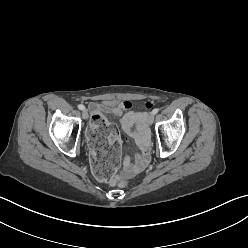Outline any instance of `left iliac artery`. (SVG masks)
Masks as SVG:
<instances>
[{
  "label": "left iliac artery",
  "mask_w": 248,
  "mask_h": 248,
  "mask_svg": "<svg viewBox=\"0 0 248 248\" xmlns=\"http://www.w3.org/2000/svg\"><path fill=\"white\" fill-rule=\"evenodd\" d=\"M158 111H159V109L158 108H155V109H153L152 114L155 115V114L158 113Z\"/></svg>",
  "instance_id": "obj_1"
}]
</instances>
